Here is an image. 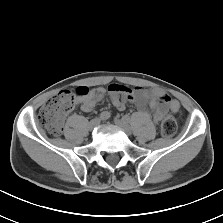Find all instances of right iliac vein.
Returning a JSON list of instances; mask_svg holds the SVG:
<instances>
[{
	"label": "right iliac vein",
	"mask_w": 223,
	"mask_h": 223,
	"mask_svg": "<svg viewBox=\"0 0 223 223\" xmlns=\"http://www.w3.org/2000/svg\"><path fill=\"white\" fill-rule=\"evenodd\" d=\"M99 123H100V120L99 119H93V120H91L90 121V123H89V129L90 130H93L96 126H98L99 125Z\"/></svg>",
	"instance_id": "63e3f726"
}]
</instances>
